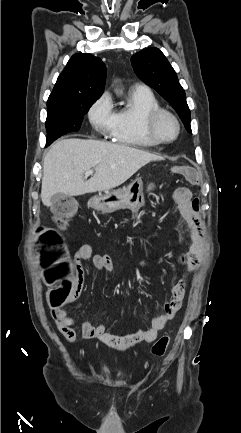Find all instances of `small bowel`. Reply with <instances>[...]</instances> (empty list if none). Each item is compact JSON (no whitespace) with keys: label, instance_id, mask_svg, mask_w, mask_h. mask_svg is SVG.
I'll list each match as a JSON object with an SVG mask.
<instances>
[{"label":"small bowel","instance_id":"obj_1","mask_svg":"<svg viewBox=\"0 0 241 433\" xmlns=\"http://www.w3.org/2000/svg\"><path fill=\"white\" fill-rule=\"evenodd\" d=\"M174 201L180 214L186 220L190 229L191 245L189 251L179 255V262L186 266V271L192 272L199 268L204 254L205 243L202 236V222L199 217L198 201L193 199L192 192L187 188H178L174 193ZM91 259L93 266L102 272L113 273L114 265L107 255H92L89 245L81 246L73 256V269L75 272V292L72 297L65 303L73 302L82 290L84 272L81 265L82 260ZM171 298L165 304L164 313L153 318L148 327L140 328L135 332L118 335L107 332L104 324H92L89 321L79 322L71 317L68 311L61 307L51 308V315L59 331L69 343L76 341L75 328H79L83 338L96 340L103 345L117 350H131L141 343L153 342L162 329L176 316L181 309L185 295V281L179 280L171 288ZM114 342L122 343L123 346L118 348Z\"/></svg>","mask_w":241,"mask_h":433}]
</instances>
